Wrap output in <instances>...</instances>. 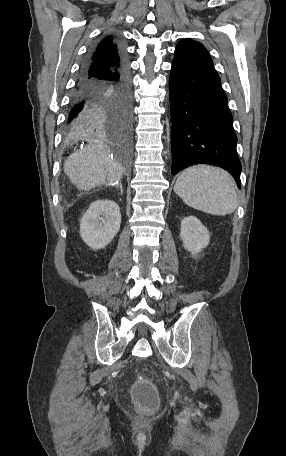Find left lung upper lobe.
<instances>
[{
  "label": "left lung upper lobe",
  "instance_id": "5c2ea615",
  "mask_svg": "<svg viewBox=\"0 0 286 456\" xmlns=\"http://www.w3.org/2000/svg\"><path fill=\"white\" fill-rule=\"evenodd\" d=\"M173 61L199 67L218 75L206 48L201 43L193 40L184 39L177 44Z\"/></svg>",
  "mask_w": 286,
  "mask_h": 456
}]
</instances>
